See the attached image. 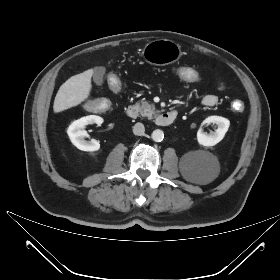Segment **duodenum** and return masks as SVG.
I'll return each mask as SVG.
<instances>
[{
	"label": "duodenum",
	"instance_id": "1",
	"mask_svg": "<svg viewBox=\"0 0 280 280\" xmlns=\"http://www.w3.org/2000/svg\"><path fill=\"white\" fill-rule=\"evenodd\" d=\"M126 114L130 119H136L140 115L139 108L136 105L131 104L127 107ZM176 116H177V111L176 110L165 111L158 116V118L156 120V123L159 126H168L171 123H173Z\"/></svg>",
	"mask_w": 280,
	"mask_h": 280
}]
</instances>
